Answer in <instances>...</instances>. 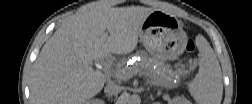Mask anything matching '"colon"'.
Instances as JSON below:
<instances>
[{
    "label": "colon",
    "instance_id": "5ec220e1",
    "mask_svg": "<svg viewBox=\"0 0 252 104\" xmlns=\"http://www.w3.org/2000/svg\"><path fill=\"white\" fill-rule=\"evenodd\" d=\"M194 50H195V42H194V40L189 39L185 45V51H186L188 58L194 52Z\"/></svg>",
    "mask_w": 252,
    "mask_h": 104
}]
</instances>
